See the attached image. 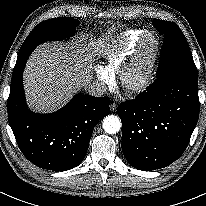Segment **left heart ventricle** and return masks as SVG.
<instances>
[{
	"label": "left heart ventricle",
	"instance_id": "obj_1",
	"mask_svg": "<svg viewBox=\"0 0 206 206\" xmlns=\"http://www.w3.org/2000/svg\"><path fill=\"white\" fill-rule=\"evenodd\" d=\"M151 42L148 43L147 48L143 54L142 60L139 64H137V66L135 67V69L133 70L132 74H131V78L135 79L138 76H140L146 69V64H147V60L150 56L151 53Z\"/></svg>",
	"mask_w": 206,
	"mask_h": 206
}]
</instances>
